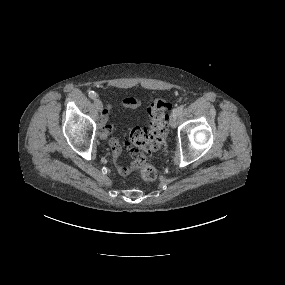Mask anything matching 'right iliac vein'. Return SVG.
Returning a JSON list of instances; mask_svg holds the SVG:
<instances>
[{
  "instance_id": "obj_1",
  "label": "right iliac vein",
  "mask_w": 285,
  "mask_h": 285,
  "mask_svg": "<svg viewBox=\"0 0 285 285\" xmlns=\"http://www.w3.org/2000/svg\"><path fill=\"white\" fill-rule=\"evenodd\" d=\"M94 104L99 111L103 110V104L100 99H95Z\"/></svg>"
}]
</instances>
